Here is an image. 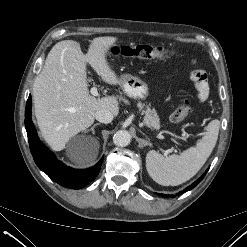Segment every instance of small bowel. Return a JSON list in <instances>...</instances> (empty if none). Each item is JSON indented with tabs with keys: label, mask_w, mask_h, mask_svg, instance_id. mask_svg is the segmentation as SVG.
<instances>
[{
	"label": "small bowel",
	"mask_w": 247,
	"mask_h": 247,
	"mask_svg": "<svg viewBox=\"0 0 247 247\" xmlns=\"http://www.w3.org/2000/svg\"><path fill=\"white\" fill-rule=\"evenodd\" d=\"M192 80L195 84L197 99L204 101L209 95V85L206 79V75L202 70H197L192 73Z\"/></svg>",
	"instance_id": "obj_1"
}]
</instances>
